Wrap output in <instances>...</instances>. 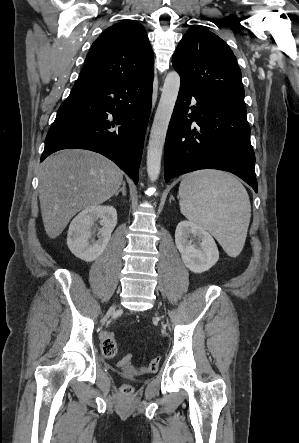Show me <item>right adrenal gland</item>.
Returning <instances> with one entry per match:
<instances>
[{
  "label": "right adrenal gland",
  "instance_id": "1",
  "mask_svg": "<svg viewBox=\"0 0 299 443\" xmlns=\"http://www.w3.org/2000/svg\"><path fill=\"white\" fill-rule=\"evenodd\" d=\"M122 192L123 196H126V183L125 181L123 182L122 188H120L116 193L115 196H118V194Z\"/></svg>",
  "mask_w": 299,
  "mask_h": 443
}]
</instances>
